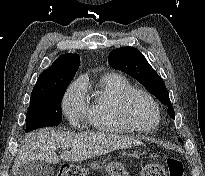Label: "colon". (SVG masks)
Wrapping results in <instances>:
<instances>
[{
    "instance_id": "colon-1",
    "label": "colon",
    "mask_w": 205,
    "mask_h": 176,
    "mask_svg": "<svg viewBox=\"0 0 205 176\" xmlns=\"http://www.w3.org/2000/svg\"><path fill=\"white\" fill-rule=\"evenodd\" d=\"M166 164V170L156 163L145 165L141 169V174L142 176H184V168L179 159L168 158ZM105 166L109 176L125 175V167L121 161H112ZM58 176H84V170L78 165L65 163L60 166Z\"/></svg>"
}]
</instances>
